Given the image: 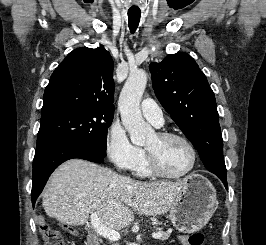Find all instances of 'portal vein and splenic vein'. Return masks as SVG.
Segmentation results:
<instances>
[{
	"mask_svg": "<svg viewBox=\"0 0 266 245\" xmlns=\"http://www.w3.org/2000/svg\"><path fill=\"white\" fill-rule=\"evenodd\" d=\"M90 219L98 235H102V237H106V239H110V241H119V239H121V235L118 231H113V229H109V227L101 225L96 213H92V215H90ZM152 237L153 239H160L162 235L161 233H153Z\"/></svg>",
	"mask_w": 266,
	"mask_h": 245,
	"instance_id": "obj_1",
	"label": "portal vein and splenic vein"
}]
</instances>
